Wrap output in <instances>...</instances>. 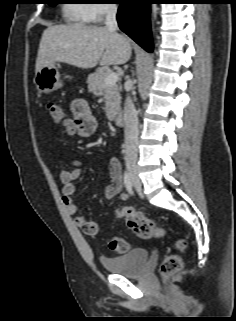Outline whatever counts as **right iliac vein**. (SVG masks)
<instances>
[{"mask_svg":"<svg viewBox=\"0 0 236 321\" xmlns=\"http://www.w3.org/2000/svg\"><path fill=\"white\" fill-rule=\"evenodd\" d=\"M126 166L131 176L132 183L134 187L139 191L141 189V181L138 177V168L135 162L132 159L126 161Z\"/></svg>","mask_w":236,"mask_h":321,"instance_id":"63e3f726","label":"right iliac vein"}]
</instances>
